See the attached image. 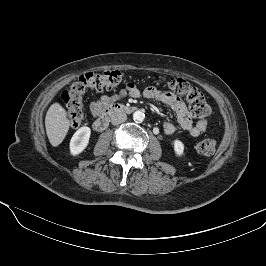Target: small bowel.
<instances>
[{
	"label": "small bowel",
	"instance_id": "c3829d8e",
	"mask_svg": "<svg viewBox=\"0 0 266 266\" xmlns=\"http://www.w3.org/2000/svg\"><path fill=\"white\" fill-rule=\"evenodd\" d=\"M126 96L132 98L143 96L171 108L176 114L179 125L193 137H198L201 133L207 130L206 120H199L197 123H194L185 103L178 96L169 91L161 90L153 86L146 87L141 91L134 84L130 83L118 94L113 96L104 95L99 99L94 100L90 105L91 113L96 116L100 114L107 105ZM162 128L167 135L173 134L176 129L171 121H165Z\"/></svg>",
	"mask_w": 266,
	"mask_h": 266
}]
</instances>
